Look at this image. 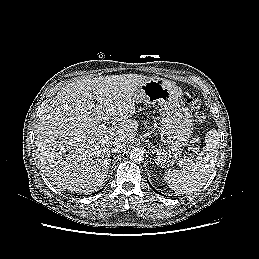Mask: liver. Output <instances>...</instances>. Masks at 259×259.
Returning a JSON list of instances; mask_svg holds the SVG:
<instances>
[{
    "label": "liver",
    "instance_id": "liver-1",
    "mask_svg": "<svg viewBox=\"0 0 259 259\" xmlns=\"http://www.w3.org/2000/svg\"><path fill=\"white\" fill-rule=\"evenodd\" d=\"M151 78L138 74L84 78L63 87L35 129L37 159L44 175L59 188L89 194L108 174L110 143L127 148L138 124L135 93ZM111 121V127H103Z\"/></svg>",
    "mask_w": 259,
    "mask_h": 259
}]
</instances>
